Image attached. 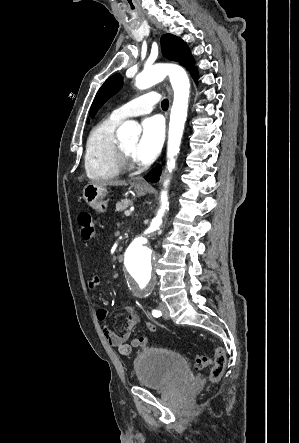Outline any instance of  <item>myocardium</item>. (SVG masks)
I'll list each match as a JSON object with an SVG mask.
<instances>
[{
  "label": "myocardium",
  "mask_w": 299,
  "mask_h": 443,
  "mask_svg": "<svg viewBox=\"0 0 299 443\" xmlns=\"http://www.w3.org/2000/svg\"><path fill=\"white\" fill-rule=\"evenodd\" d=\"M117 162L121 169L133 170L139 167L138 162L125 150L122 143L117 145Z\"/></svg>",
  "instance_id": "1"
}]
</instances>
